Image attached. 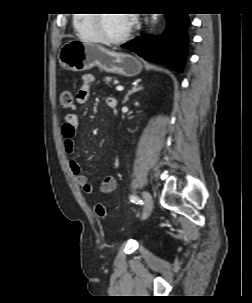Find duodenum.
I'll list each match as a JSON object with an SVG mask.
<instances>
[{"label": "duodenum", "mask_w": 252, "mask_h": 303, "mask_svg": "<svg viewBox=\"0 0 252 303\" xmlns=\"http://www.w3.org/2000/svg\"><path fill=\"white\" fill-rule=\"evenodd\" d=\"M110 107L111 108L115 107V104L114 103L110 104Z\"/></svg>", "instance_id": "1"}]
</instances>
